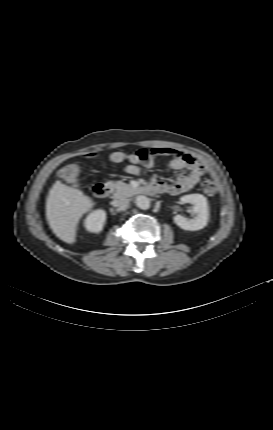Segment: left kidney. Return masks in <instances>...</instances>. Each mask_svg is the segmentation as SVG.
I'll return each instance as SVG.
<instances>
[{"label":"left kidney","mask_w":273,"mask_h":430,"mask_svg":"<svg viewBox=\"0 0 273 430\" xmlns=\"http://www.w3.org/2000/svg\"><path fill=\"white\" fill-rule=\"evenodd\" d=\"M181 203H190L193 205V218H185L181 215L174 216V222L180 228L188 231H197L203 229L209 220L208 200L201 194H189L180 198Z\"/></svg>","instance_id":"1"}]
</instances>
